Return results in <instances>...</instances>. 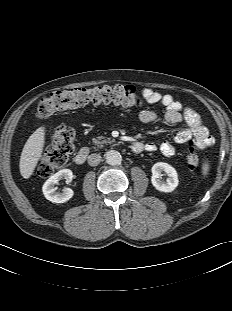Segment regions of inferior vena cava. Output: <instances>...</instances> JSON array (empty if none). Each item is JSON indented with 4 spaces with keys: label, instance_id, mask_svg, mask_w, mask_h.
Segmentation results:
<instances>
[{
    "label": "inferior vena cava",
    "instance_id": "1",
    "mask_svg": "<svg viewBox=\"0 0 232 311\" xmlns=\"http://www.w3.org/2000/svg\"><path fill=\"white\" fill-rule=\"evenodd\" d=\"M101 161V156L99 154H91L89 157H88V164L90 166H97Z\"/></svg>",
    "mask_w": 232,
    "mask_h": 311
}]
</instances>
